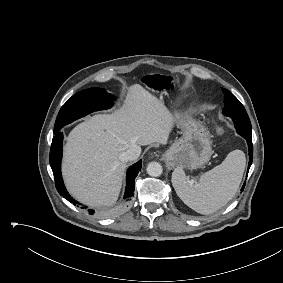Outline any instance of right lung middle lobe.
Listing matches in <instances>:
<instances>
[{"instance_id": "dd1d6c3e", "label": "right lung middle lobe", "mask_w": 283, "mask_h": 283, "mask_svg": "<svg viewBox=\"0 0 283 283\" xmlns=\"http://www.w3.org/2000/svg\"><path fill=\"white\" fill-rule=\"evenodd\" d=\"M115 97L102 88H89L72 96L61 108L57 116L54 134L74 120L93 111L108 109L113 105Z\"/></svg>"}]
</instances>
